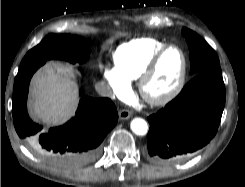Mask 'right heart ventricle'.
Masks as SVG:
<instances>
[{"label": "right heart ventricle", "instance_id": "e07e8e85", "mask_svg": "<svg viewBox=\"0 0 245 187\" xmlns=\"http://www.w3.org/2000/svg\"><path fill=\"white\" fill-rule=\"evenodd\" d=\"M165 45V42L150 37L120 45L114 53L118 74L128 84L137 81L154 55Z\"/></svg>", "mask_w": 245, "mask_h": 187}]
</instances>
